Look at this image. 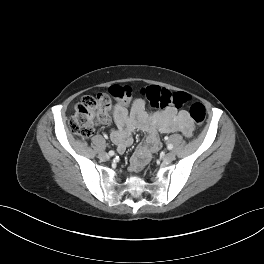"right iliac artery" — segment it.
Instances as JSON below:
<instances>
[{"instance_id": "obj_1", "label": "right iliac artery", "mask_w": 264, "mask_h": 264, "mask_svg": "<svg viewBox=\"0 0 264 264\" xmlns=\"http://www.w3.org/2000/svg\"><path fill=\"white\" fill-rule=\"evenodd\" d=\"M115 154V152L113 150L109 151V155L113 156Z\"/></svg>"}]
</instances>
